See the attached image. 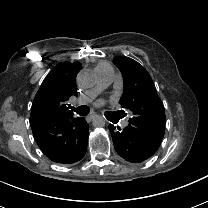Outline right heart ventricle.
Listing matches in <instances>:
<instances>
[{
    "mask_svg": "<svg viewBox=\"0 0 208 208\" xmlns=\"http://www.w3.org/2000/svg\"><path fill=\"white\" fill-rule=\"evenodd\" d=\"M108 66H110L109 63L104 62V61H103V62H100V63L96 66L95 71H96L97 73H99V72L103 71L104 69H106Z\"/></svg>",
    "mask_w": 208,
    "mask_h": 208,
    "instance_id": "1",
    "label": "right heart ventricle"
}]
</instances>
